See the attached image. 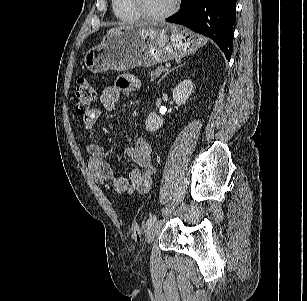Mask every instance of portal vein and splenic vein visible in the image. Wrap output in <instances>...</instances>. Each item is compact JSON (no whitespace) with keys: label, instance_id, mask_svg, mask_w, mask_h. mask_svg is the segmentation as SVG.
<instances>
[{"label":"portal vein and splenic vein","instance_id":"18ae733b","mask_svg":"<svg viewBox=\"0 0 307 301\" xmlns=\"http://www.w3.org/2000/svg\"><path fill=\"white\" fill-rule=\"evenodd\" d=\"M165 67H166V68H170V67H171V64H170V63H167V64H165Z\"/></svg>","mask_w":307,"mask_h":301}]
</instances>
